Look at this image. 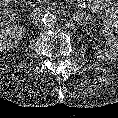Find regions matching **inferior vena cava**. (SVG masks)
Returning a JSON list of instances; mask_svg holds the SVG:
<instances>
[{
    "label": "inferior vena cava",
    "mask_w": 118,
    "mask_h": 118,
    "mask_svg": "<svg viewBox=\"0 0 118 118\" xmlns=\"http://www.w3.org/2000/svg\"><path fill=\"white\" fill-rule=\"evenodd\" d=\"M41 23H42V20L35 22V24H36L37 26H39Z\"/></svg>",
    "instance_id": "inferior-vena-cava-1"
}]
</instances>
